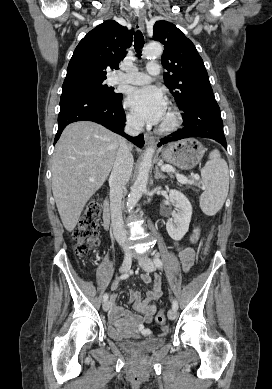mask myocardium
<instances>
[{
	"mask_svg": "<svg viewBox=\"0 0 272 389\" xmlns=\"http://www.w3.org/2000/svg\"><path fill=\"white\" fill-rule=\"evenodd\" d=\"M168 119L165 122H162L160 126L158 127V131L162 133H169L174 130H176L180 124H181V114L180 112L174 108L171 107L168 110Z\"/></svg>",
	"mask_w": 272,
	"mask_h": 389,
	"instance_id": "1",
	"label": "myocardium"
}]
</instances>
